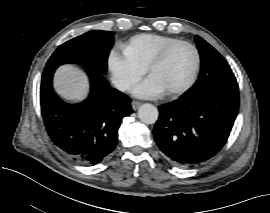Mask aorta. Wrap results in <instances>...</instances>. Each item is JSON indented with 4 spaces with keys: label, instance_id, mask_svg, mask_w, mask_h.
Returning a JSON list of instances; mask_svg holds the SVG:
<instances>
[{
    "label": "aorta",
    "instance_id": "obj_1",
    "mask_svg": "<svg viewBox=\"0 0 270 213\" xmlns=\"http://www.w3.org/2000/svg\"><path fill=\"white\" fill-rule=\"evenodd\" d=\"M159 116L157 107L152 104L145 103L138 110L139 119L145 124H154Z\"/></svg>",
    "mask_w": 270,
    "mask_h": 213
}]
</instances>
